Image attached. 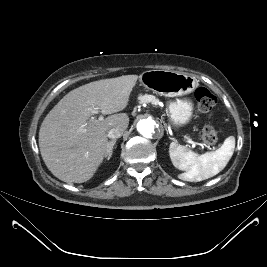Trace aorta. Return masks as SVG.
Returning <instances> with one entry per match:
<instances>
[{
	"instance_id": "1",
	"label": "aorta",
	"mask_w": 267,
	"mask_h": 267,
	"mask_svg": "<svg viewBox=\"0 0 267 267\" xmlns=\"http://www.w3.org/2000/svg\"><path fill=\"white\" fill-rule=\"evenodd\" d=\"M157 128L156 122L150 118L141 119L137 123L138 132L146 138H151L156 133Z\"/></svg>"
}]
</instances>
